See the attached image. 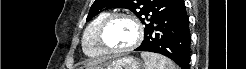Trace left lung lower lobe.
I'll return each instance as SVG.
<instances>
[{"label":"left lung lower lobe","mask_w":246,"mask_h":69,"mask_svg":"<svg viewBox=\"0 0 246 69\" xmlns=\"http://www.w3.org/2000/svg\"><path fill=\"white\" fill-rule=\"evenodd\" d=\"M144 35L142 44L135 50L160 53L182 69H189L191 36L183 0H177L163 16L145 29Z\"/></svg>","instance_id":"obj_1"}]
</instances>
